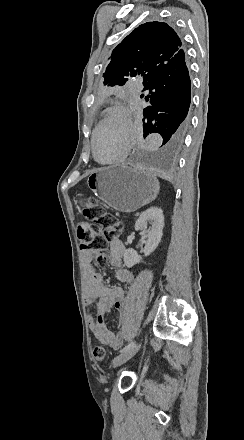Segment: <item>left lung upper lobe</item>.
Here are the masks:
<instances>
[{"mask_svg": "<svg viewBox=\"0 0 244 440\" xmlns=\"http://www.w3.org/2000/svg\"><path fill=\"white\" fill-rule=\"evenodd\" d=\"M185 59L182 42L166 23L147 22L134 29L113 51L103 74L104 86L124 85L142 77L145 86L163 67Z\"/></svg>", "mask_w": 244, "mask_h": 440, "instance_id": "1", "label": "left lung upper lobe"}]
</instances>
